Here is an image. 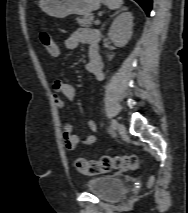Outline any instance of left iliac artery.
Segmentation results:
<instances>
[{
	"label": "left iliac artery",
	"mask_w": 188,
	"mask_h": 213,
	"mask_svg": "<svg viewBox=\"0 0 188 213\" xmlns=\"http://www.w3.org/2000/svg\"><path fill=\"white\" fill-rule=\"evenodd\" d=\"M116 125H117V122H116L115 119H113V120L111 121V127H112L113 130L116 129Z\"/></svg>",
	"instance_id": "1"
}]
</instances>
